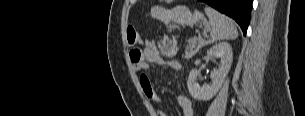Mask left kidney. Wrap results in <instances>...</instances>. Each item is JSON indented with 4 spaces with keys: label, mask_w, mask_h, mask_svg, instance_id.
Instances as JSON below:
<instances>
[{
    "label": "left kidney",
    "mask_w": 305,
    "mask_h": 116,
    "mask_svg": "<svg viewBox=\"0 0 305 116\" xmlns=\"http://www.w3.org/2000/svg\"><path fill=\"white\" fill-rule=\"evenodd\" d=\"M207 56L215 61L220 58L221 62L218 68L211 73L212 84H204L202 87L197 83L199 72L193 69L189 73L187 86L189 93L196 100L208 101L212 99L221 88L233 60V52L229 43L221 42L207 51Z\"/></svg>",
    "instance_id": "5707ae66"
}]
</instances>
